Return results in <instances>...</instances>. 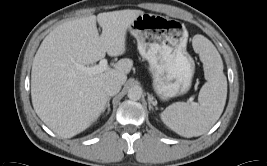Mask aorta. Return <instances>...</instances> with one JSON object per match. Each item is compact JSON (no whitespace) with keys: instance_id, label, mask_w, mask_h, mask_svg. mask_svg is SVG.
Listing matches in <instances>:
<instances>
[{"instance_id":"1","label":"aorta","mask_w":267,"mask_h":166,"mask_svg":"<svg viewBox=\"0 0 267 166\" xmlns=\"http://www.w3.org/2000/svg\"><path fill=\"white\" fill-rule=\"evenodd\" d=\"M141 95H142V91L139 87H131L129 90H128V98L130 100H133V101H137L141 98Z\"/></svg>"}]
</instances>
